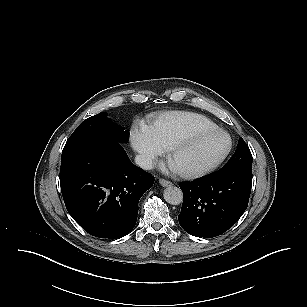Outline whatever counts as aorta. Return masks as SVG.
<instances>
[{"mask_svg": "<svg viewBox=\"0 0 307 307\" xmlns=\"http://www.w3.org/2000/svg\"><path fill=\"white\" fill-rule=\"evenodd\" d=\"M164 199L171 205H179L183 201V193L180 188L169 186L164 190Z\"/></svg>", "mask_w": 307, "mask_h": 307, "instance_id": "762f6f07", "label": "aorta"}]
</instances>
